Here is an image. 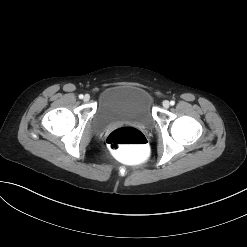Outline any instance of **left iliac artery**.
I'll return each mask as SVG.
<instances>
[{"label":"left iliac artery","mask_w":247,"mask_h":247,"mask_svg":"<svg viewBox=\"0 0 247 247\" xmlns=\"http://www.w3.org/2000/svg\"><path fill=\"white\" fill-rule=\"evenodd\" d=\"M170 104L173 106L175 104V101H170Z\"/></svg>","instance_id":"1"}]
</instances>
